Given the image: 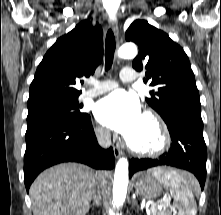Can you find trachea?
Segmentation results:
<instances>
[{
    "instance_id": "trachea-1",
    "label": "trachea",
    "mask_w": 221,
    "mask_h": 215,
    "mask_svg": "<svg viewBox=\"0 0 221 215\" xmlns=\"http://www.w3.org/2000/svg\"><path fill=\"white\" fill-rule=\"evenodd\" d=\"M115 37L111 29L108 30L105 41V63L106 71L109 70L113 63V57L115 52Z\"/></svg>"
}]
</instances>
